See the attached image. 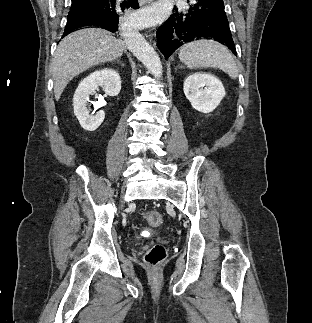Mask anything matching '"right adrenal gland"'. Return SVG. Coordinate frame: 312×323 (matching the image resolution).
Returning a JSON list of instances; mask_svg holds the SVG:
<instances>
[{
	"mask_svg": "<svg viewBox=\"0 0 312 323\" xmlns=\"http://www.w3.org/2000/svg\"><path fill=\"white\" fill-rule=\"evenodd\" d=\"M120 60H121V58H118V60H116V64H119ZM122 66H123V64H122Z\"/></svg>",
	"mask_w": 312,
	"mask_h": 323,
	"instance_id": "2a0ac1e0",
	"label": "right adrenal gland"
}]
</instances>
